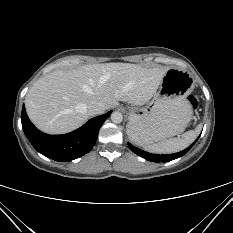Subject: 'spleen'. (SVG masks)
<instances>
[{
    "label": "spleen",
    "instance_id": "3e777b00",
    "mask_svg": "<svg viewBox=\"0 0 233 233\" xmlns=\"http://www.w3.org/2000/svg\"><path fill=\"white\" fill-rule=\"evenodd\" d=\"M201 131V126L182 134V137L170 138L154 144H144L135 134H128V137L136 144L142 146L146 151L152 153L166 154L179 152L191 144Z\"/></svg>",
    "mask_w": 233,
    "mask_h": 233
}]
</instances>
